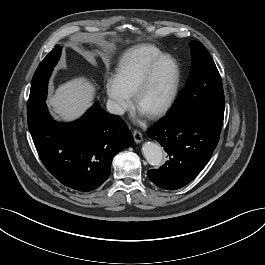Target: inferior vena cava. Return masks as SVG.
<instances>
[{"label":"inferior vena cava","instance_id":"602c4592","mask_svg":"<svg viewBox=\"0 0 265 265\" xmlns=\"http://www.w3.org/2000/svg\"><path fill=\"white\" fill-rule=\"evenodd\" d=\"M106 107H107L108 112L111 114H115V115L124 114V109L115 101L108 100Z\"/></svg>","mask_w":265,"mask_h":265}]
</instances>
